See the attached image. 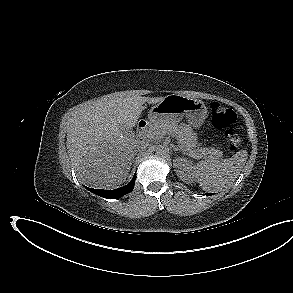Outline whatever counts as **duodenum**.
<instances>
[{
	"label": "duodenum",
	"instance_id": "1",
	"mask_svg": "<svg viewBox=\"0 0 293 293\" xmlns=\"http://www.w3.org/2000/svg\"><path fill=\"white\" fill-rule=\"evenodd\" d=\"M148 127H149V123L147 121L145 120L140 121L137 126L138 136L142 137L146 133Z\"/></svg>",
	"mask_w": 293,
	"mask_h": 293
}]
</instances>
